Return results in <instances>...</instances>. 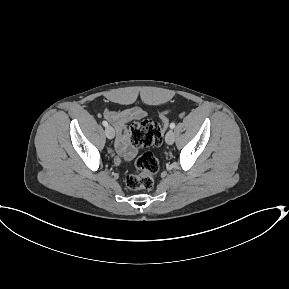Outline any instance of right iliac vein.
<instances>
[{"label":"right iliac vein","instance_id":"right-iliac-vein-1","mask_svg":"<svg viewBox=\"0 0 289 289\" xmlns=\"http://www.w3.org/2000/svg\"><path fill=\"white\" fill-rule=\"evenodd\" d=\"M105 134H106L107 138L113 139L114 136H115L114 128L111 127V126H107L106 129H105Z\"/></svg>","mask_w":289,"mask_h":289}]
</instances>
